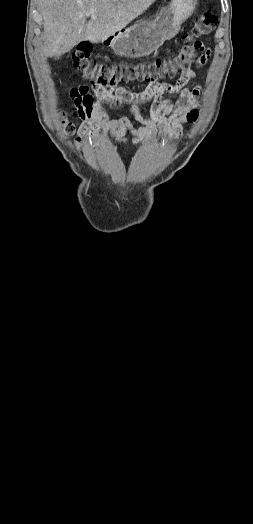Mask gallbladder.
<instances>
[{"label": "gallbladder", "mask_w": 253, "mask_h": 524, "mask_svg": "<svg viewBox=\"0 0 253 524\" xmlns=\"http://www.w3.org/2000/svg\"><path fill=\"white\" fill-rule=\"evenodd\" d=\"M59 58H60V55H55V56H54V59H55V60H58Z\"/></svg>", "instance_id": "gallbladder-1"}]
</instances>
